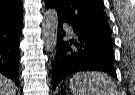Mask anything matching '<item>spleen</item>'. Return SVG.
Listing matches in <instances>:
<instances>
[{
  "label": "spleen",
  "instance_id": "1",
  "mask_svg": "<svg viewBox=\"0 0 135 95\" xmlns=\"http://www.w3.org/2000/svg\"><path fill=\"white\" fill-rule=\"evenodd\" d=\"M73 95H118L113 80L102 72L77 73L70 80Z\"/></svg>",
  "mask_w": 135,
  "mask_h": 95
}]
</instances>
